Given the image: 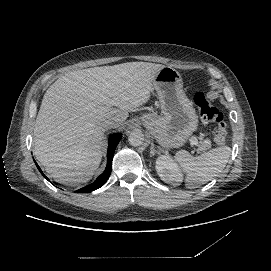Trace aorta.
I'll return each instance as SVG.
<instances>
[{
  "label": "aorta",
  "instance_id": "762f6f07",
  "mask_svg": "<svg viewBox=\"0 0 271 271\" xmlns=\"http://www.w3.org/2000/svg\"><path fill=\"white\" fill-rule=\"evenodd\" d=\"M144 140H145V137L141 131H133L128 137V141H129L130 145H132L134 147L141 146L143 144Z\"/></svg>",
  "mask_w": 271,
  "mask_h": 271
}]
</instances>
